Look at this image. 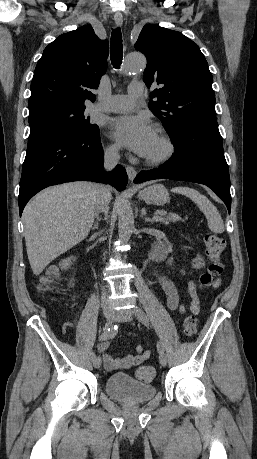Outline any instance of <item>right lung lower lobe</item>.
<instances>
[{
	"label": "right lung lower lobe",
	"instance_id": "right-lung-lower-lobe-1",
	"mask_svg": "<svg viewBox=\"0 0 257 459\" xmlns=\"http://www.w3.org/2000/svg\"><path fill=\"white\" fill-rule=\"evenodd\" d=\"M80 180L108 183L121 191L128 177L121 165L110 173L103 172L99 130L72 134L52 126H32L20 180V216L27 202L40 190Z\"/></svg>",
	"mask_w": 257,
	"mask_h": 459
}]
</instances>
